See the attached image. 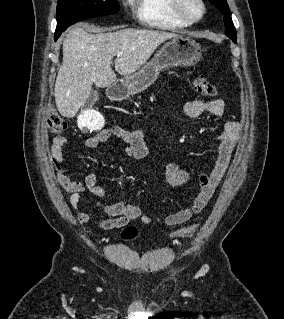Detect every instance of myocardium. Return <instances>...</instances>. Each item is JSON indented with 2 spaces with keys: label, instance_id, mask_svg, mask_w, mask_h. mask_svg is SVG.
<instances>
[{
  "label": "myocardium",
  "instance_id": "1",
  "mask_svg": "<svg viewBox=\"0 0 284 319\" xmlns=\"http://www.w3.org/2000/svg\"><path fill=\"white\" fill-rule=\"evenodd\" d=\"M185 1L186 0H172V7L174 12L183 20L188 23H196L202 20L206 14V4L204 0H196L201 6V14L198 17H191L185 10Z\"/></svg>",
  "mask_w": 284,
  "mask_h": 319
}]
</instances>
